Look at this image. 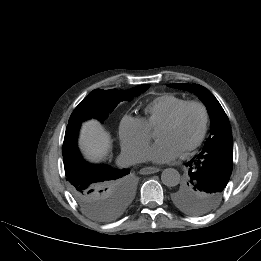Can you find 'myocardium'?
<instances>
[{
  "label": "myocardium",
  "instance_id": "f54148a6",
  "mask_svg": "<svg viewBox=\"0 0 261 261\" xmlns=\"http://www.w3.org/2000/svg\"><path fill=\"white\" fill-rule=\"evenodd\" d=\"M190 106H198L201 109L203 115V121H202V126L199 135L197 136V138L194 140L192 144H190L180 153L181 157H185L191 152H193L194 150H196L202 144L206 136L208 130V123H209V112L206 105L199 100H187L182 105H180L173 112V114L160 126V127H171L175 125L179 121L184 111Z\"/></svg>",
  "mask_w": 261,
  "mask_h": 261
}]
</instances>
